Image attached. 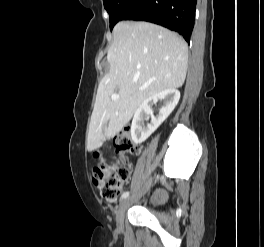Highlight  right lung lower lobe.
Wrapping results in <instances>:
<instances>
[{
	"mask_svg": "<svg viewBox=\"0 0 264 247\" xmlns=\"http://www.w3.org/2000/svg\"><path fill=\"white\" fill-rule=\"evenodd\" d=\"M197 0H133L120 20L148 21L178 32L189 42Z\"/></svg>",
	"mask_w": 264,
	"mask_h": 247,
	"instance_id": "98d812e1",
	"label": "right lung lower lobe"
}]
</instances>
